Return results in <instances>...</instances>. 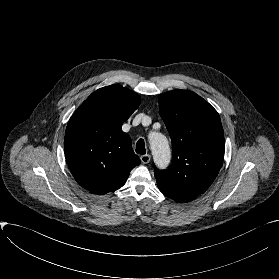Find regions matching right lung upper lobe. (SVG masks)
Instances as JSON below:
<instances>
[{
	"label": "right lung upper lobe",
	"mask_w": 279,
	"mask_h": 279,
	"mask_svg": "<svg viewBox=\"0 0 279 279\" xmlns=\"http://www.w3.org/2000/svg\"><path fill=\"white\" fill-rule=\"evenodd\" d=\"M140 105V97L120 85L92 93L70 118L64 139L65 157L80 186L94 194L122 187L140 164L122 124Z\"/></svg>",
	"instance_id": "cb5924a9"
}]
</instances>
